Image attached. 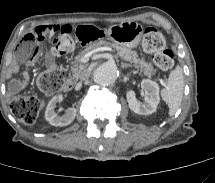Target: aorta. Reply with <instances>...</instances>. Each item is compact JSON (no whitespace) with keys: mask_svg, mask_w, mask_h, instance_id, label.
<instances>
[{"mask_svg":"<svg viewBox=\"0 0 215 183\" xmlns=\"http://www.w3.org/2000/svg\"><path fill=\"white\" fill-rule=\"evenodd\" d=\"M119 76L118 67L113 62L100 64L93 73L94 81L103 86L114 83Z\"/></svg>","mask_w":215,"mask_h":183,"instance_id":"obj_1","label":"aorta"}]
</instances>
